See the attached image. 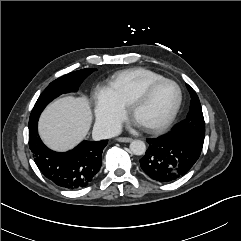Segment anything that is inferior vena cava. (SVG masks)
<instances>
[{
  "label": "inferior vena cava",
  "mask_w": 241,
  "mask_h": 241,
  "mask_svg": "<svg viewBox=\"0 0 241 241\" xmlns=\"http://www.w3.org/2000/svg\"><path fill=\"white\" fill-rule=\"evenodd\" d=\"M122 131L119 123L96 122L93 127L92 137L95 141L118 136Z\"/></svg>",
  "instance_id": "inferior-vena-cava-1"
}]
</instances>
